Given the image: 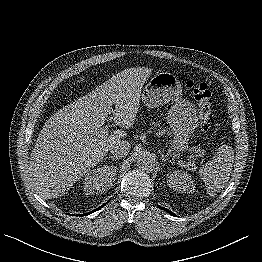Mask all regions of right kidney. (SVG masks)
Returning a JSON list of instances; mask_svg holds the SVG:
<instances>
[{"label": "right kidney", "instance_id": "ca27d5eb", "mask_svg": "<svg viewBox=\"0 0 262 262\" xmlns=\"http://www.w3.org/2000/svg\"><path fill=\"white\" fill-rule=\"evenodd\" d=\"M116 170L113 166H103L88 172L84 179V192L87 195L108 191L115 180Z\"/></svg>", "mask_w": 262, "mask_h": 262}]
</instances>
